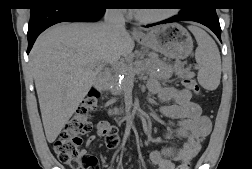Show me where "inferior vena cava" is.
Wrapping results in <instances>:
<instances>
[{"mask_svg":"<svg viewBox=\"0 0 252 169\" xmlns=\"http://www.w3.org/2000/svg\"><path fill=\"white\" fill-rule=\"evenodd\" d=\"M103 26L109 34L124 32L125 18L122 9H106Z\"/></svg>","mask_w":252,"mask_h":169,"instance_id":"602c4592","label":"inferior vena cava"}]
</instances>
